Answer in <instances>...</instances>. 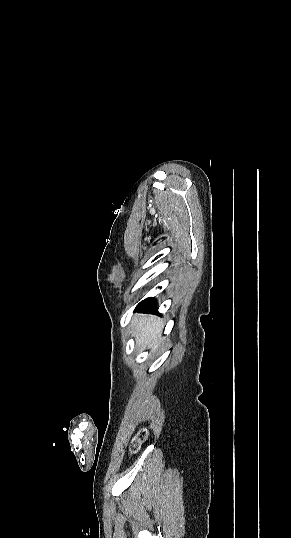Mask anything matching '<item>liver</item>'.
Masks as SVG:
<instances>
[{"label":"liver","instance_id":"liver-1","mask_svg":"<svg viewBox=\"0 0 291 538\" xmlns=\"http://www.w3.org/2000/svg\"><path fill=\"white\" fill-rule=\"evenodd\" d=\"M133 334L137 336V345L146 348L157 342L161 330L164 327L161 319H154L152 316L138 314L133 318Z\"/></svg>","mask_w":291,"mask_h":538}]
</instances>
